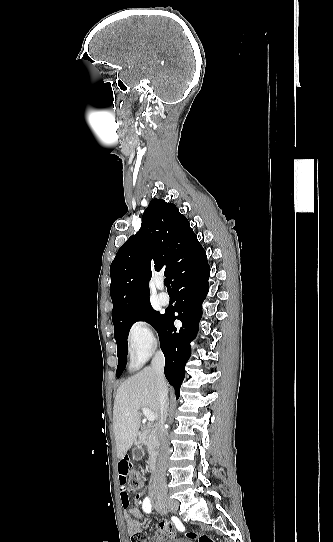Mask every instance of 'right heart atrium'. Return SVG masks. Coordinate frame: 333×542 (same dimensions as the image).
Wrapping results in <instances>:
<instances>
[{"label": "right heart atrium", "mask_w": 333, "mask_h": 542, "mask_svg": "<svg viewBox=\"0 0 333 542\" xmlns=\"http://www.w3.org/2000/svg\"><path fill=\"white\" fill-rule=\"evenodd\" d=\"M129 341L131 348L144 357L150 356L158 343L153 326L146 321H138L132 326Z\"/></svg>", "instance_id": "d8ad5b80"}]
</instances>
